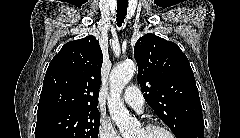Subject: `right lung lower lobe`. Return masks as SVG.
I'll list each match as a JSON object with an SVG mask.
<instances>
[{"label":"right lung lower lobe","instance_id":"1","mask_svg":"<svg viewBox=\"0 0 240 138\" xmlns=\"http://www.w3.org/2000/svg\"><path fill=\"white\" fill-rule=\"evenodd\" d=\"M41 138H62V137H59V136H46V137H41Z\"/></svg>","mask_w":240,"mask_h":138}]
</instances>
